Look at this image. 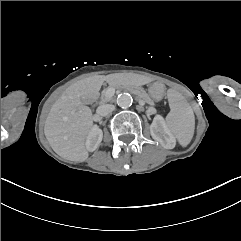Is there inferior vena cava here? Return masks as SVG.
<instances>
[{
    "label": "inferior vena cava",
    "mask_w": 241,
    "mask_h": 241,
    "mask_svg": "<svg viewBox=\"0 0 241 241\" xmlns=\"http://www.w3.org/2000/svg\"><path fill=\"white\" fill-rule=\"evenodd\" d=\"M115 109V106L112 104H103L99 106L96 110L97 115L106 116Z\"/></svg>",
    "instance_id": "602c4592"
}]
</instances>
